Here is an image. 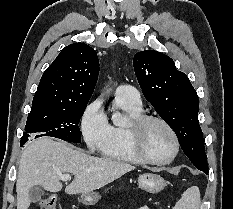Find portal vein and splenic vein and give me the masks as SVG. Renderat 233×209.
<instances>
[{
    "mask_svg": "<svg viewBox=\"0 0 233 209\" xmlns=\"http://www.w3.org/2000/svg\"><path fill=\"white\" fill-rule=\"evenodd\" d=\"M71 177L69 174H61L60 175V179L63 180V181H67L69 180Z\"/></svg>",
    "mask_w": 233,
    "mask_h": 209,
    "instance_id": "obj_1",
    "label": "portal vein and splenic vein"
}]
</instances>
